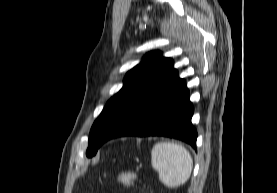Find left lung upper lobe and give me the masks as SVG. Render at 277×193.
I'll use <instances>...</instances> for the list:
<instances>
[{"label": "left lung upper lobe", "mask_w": 277, "mask_h": 193, "mask_svg": "<svg viewBox=\"0 0 277 193\" xmlns=\"http://www.w3.org/2000/svg\"><path fill=\"white\" fill-rule=\"evenodd\" d=\"M176 73L171 58L163 57L159 51L148 53L141 63L126 74L122 89L107 102L95 120L86 155L92 157L96 154L104 134L130 105Z\"/></svg>", "instance_id": "obj_1"}]
</instances>
